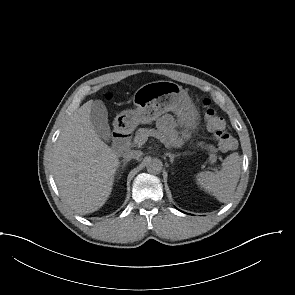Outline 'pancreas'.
I'll return each instance as SVG.
<instances>
[{
  "label": "pancreas",
  "mask_w": 295,
  "mask_h": 295,
  "mask_svg": "<svg viewBox=\"0 0 295 295\" xmlns=\"http://www.w3.org/2000/svg\"><path fill=\"white\" fill-rule=\"evenodd\" d=\"M151 131L157 132V130H155V129L139 128L136 131L133 145L134 146L138 145L140 138L143 135H148ZM159 134L163 135V137L165 138V140L168 142L169 145H171V146H176L177 145V143L175 141V136H176L175 132H173V131L167 132V133H160L159 132ZM198 145H201L205 149L209 150L212 159L216 158V153L218 152V149L216 147H214L213 145H205L204 146V143H199Z\"/></svg>",
  "instance_id": "obj_1"
}]
</instances>
